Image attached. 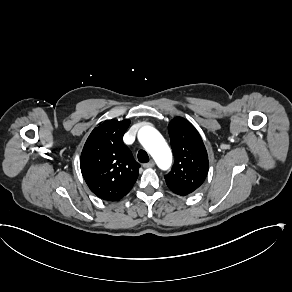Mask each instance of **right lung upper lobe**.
<instances>
[{
    "mask_svg": "<svg viewBox=\"0 0 292 292\" xmlns=\"http://www.w3.org/2000/svg\"><path fill=\"white\" fill-rule=\"evenodd\" d=\"M130 120H106L93 129L80 158L82 175L99 198L118 201L138 178V164L122 138Z\"/></svg>",
    "mask_w": 292,
    "mask_h": 292,
    "instance_id": "1",
    "label": "right lung upper lobe"
}]
</instances>
